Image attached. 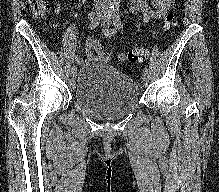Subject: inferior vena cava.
Returning <instances> with one entry per match:
<instances>
[{"label":"inferior vena cava","mask_w":219,"mask_h":192,"mask_svg":"<svg viewBox=\"0 0 219 192\" xmlns=\"http://www.w3.org/2000/svg\"><path fill=\"white\" fill-rule=\"evenodd\" d=\"M96 3H99L101 6L106 7L108 0H94Z\"/></svg>","instance_id":"obj_1"}]
</instances>
